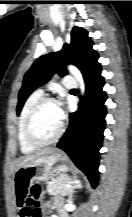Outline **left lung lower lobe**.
<instances>
[{
  "label": "left lung lower lobe",
  "mask_w": 132,
  "mask_h": 217,
  "mask_svg": "<svg viewBox=\"0 0 132 217\" xmlns=\"http://www.w3.org/2000/svg\"><path fill=\"white\" fill-rule=\"evenodd\" d=\"M101 66L84 78L85 97L79 109L70 114V125L57 147L65 151L95 188L98 182L99 149L105 129L106 93Z\"/></svg>",
  "instance_id": "left-lung-lower-lobe-1"
}]
</instances>
